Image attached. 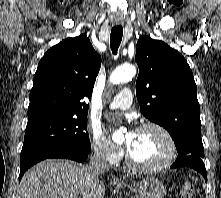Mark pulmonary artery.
Returning <instances> with one entry per match:
<instances>
[{"instance_id":"e3ab8cb5","label":"pulmonary artery","mask_w":221,"mask_h":198,"mask_svg":"<svg viewBox=\"0 0 221 198\" xmlns=\"http://www.w3.org/2000/svg\"><path fill=\"white\" fill-rule=\"evenodd\" d=\"M132 93L130 89H123L110 102L109 108L112 110H126L131 106Z\"/></svg>"}]
</instances>
